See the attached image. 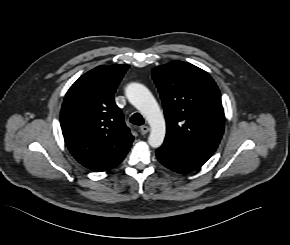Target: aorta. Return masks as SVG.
Here are the masks:
<instances>
[{
	"label": "aorta",
	"mask_w": 290,
	"mask_h": 245,
	"mask_svg": "<svg viewBox=\"0 0 290 245\" xmlns=\"http://www.w3.org/2000/svg\"><path fill=\"white\" fill-rule=\"evenodd\" d=\"M126 97L148 121L151 132L148 143L152 148L162 145L166 134V123L163 113L151 92L142 84L131 83L126 88Z\"/></svg>",
	"instance_id": "762f6f07"
}]
</instances>
